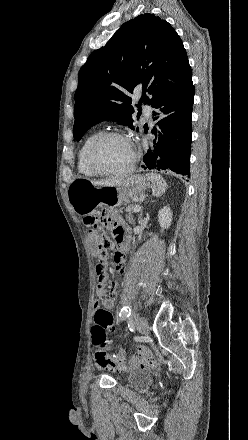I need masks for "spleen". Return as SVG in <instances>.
Wrapping results in <instances>:
<instances>
[{
	"mask_svg": "<svg viewBox=\"0 0 248 440\" xmlns=\"http://www.w3.org/2000/svg\"><path fill=\"white\" fill-rule=\"evenodd\" d=\"M148 180L152 182V194L155 197H160L163 193H165L167 189V183L164 178L156 173H148L146 174Z\"/></svg>",
	"mask_w": 248,
	"mask_h": 440,
	"instance_id": "1",
	"label": "spleen"
}]
</instances>
